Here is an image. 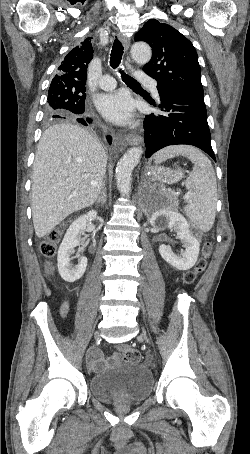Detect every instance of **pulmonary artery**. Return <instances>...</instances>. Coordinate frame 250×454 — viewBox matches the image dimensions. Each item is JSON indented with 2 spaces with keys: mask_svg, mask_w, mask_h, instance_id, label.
I'll list each match as a JSON object with an SVG mask.
<instances>
[{
  "mask_svg": "<svg viewBox=\"0 0 250 454\" xmlns=\"http://www.w3.org/2000/svg\"><path fill=\"white\" fill-rule=\"evenodd\" d=\"M135 78L139 82H141V83H143L145 85H148L150 87L153 95L156 98L159 97L158 90H157V85H156V81L155 80H153L152 78H150L148 75H146L143 72L136 73L135 74ZM99 87L102 90H106V91L113 90L116 87V80L112 76L104 75L99 80Z\"/></svg>",
  "mask_w": 250,
  "mask_h": 454,
  "instance_id": "e3ab8cb5",
  "label": "pulmonary artery"
}]
</instances>
